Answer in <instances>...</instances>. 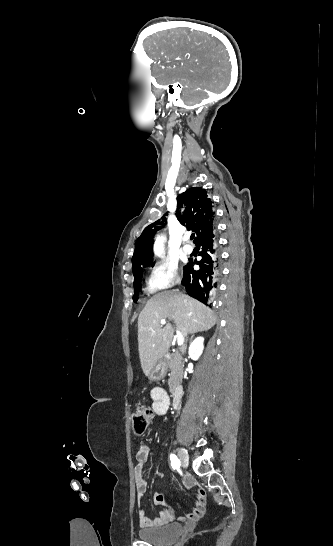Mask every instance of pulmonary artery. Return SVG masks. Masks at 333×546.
<instances>
[{"instance_id": "obj_1", "label": "pulmonary artery", "mask_w": 333, "mask_h": 546, "mask_svg": "<svg viewBox=\"0 0 333 546\" xmlns=\"http://www.w3.org/2000/svg\"><path fill=\"white\" fill-rule=\"evenodd\" d=\"M182 249L185 254H190L193 251V247L188 243H186Z\"/></svg>"}]
</instances>
